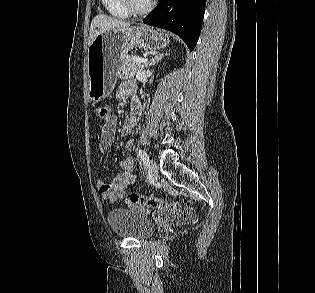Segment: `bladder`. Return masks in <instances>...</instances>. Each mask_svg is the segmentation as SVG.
<instances>
[{"mask_svg": "<svg viewBox=\"0 0 315 293\" xmlns=\"http://www.w3.org/2000/svg\"><path fill=\"white\" fill-rule=\"evenodd\" d=\"M107 219L114 234L120 238L144 240L155 232L153 222L137 209L116 208L108 213Z\"/></svg>", "mask_w": 315, "mask_h": 293, "instance_id": "31cf9c89", "label": "bladder"}]
</instances>
